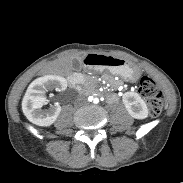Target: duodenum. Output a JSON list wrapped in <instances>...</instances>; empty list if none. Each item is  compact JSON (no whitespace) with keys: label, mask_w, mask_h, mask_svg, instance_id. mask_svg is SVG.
Returning <instances> with one entry per match:
<instances>
[{"label":"duodenum","mask_w":183,"mask_h":183,"mask_svg":"<svg viewBox=\"0 0 183 183\" xmlns=\"http://www.w3.org/2000/svg\"><path fill=\"white\" fill-rule=\"evenodd\" d=\"M85 81L83 73L80 70H75L69 77V84L71 87H75L77 84L81 85Z\"/></svg>","instance_id":"duodenum-1"}]
</instances>
